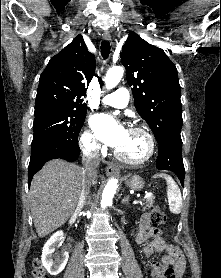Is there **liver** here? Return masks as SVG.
<instances>
[{"instance_id":"6515ba94","label":"liver","mask_w":221,"mask_h":278,"mask_svg":"<svg viewBox=\"0 0 221 278\" xmlns=\"http://www.w3.org/2000/svg\"><path fill=\"white\" fill-rule=\"evenodd\" d=\"M85 177L83 168L56 159L34 176L29 192L34 226L39 237L61 227L73 214ZM97 182V176L91 183Z\"/></svg>"}]
</instances>
